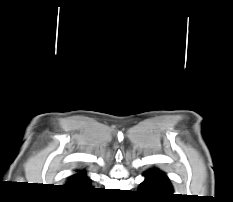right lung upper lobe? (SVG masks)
Instances as JSON below:
<instances>
[{
    "label": "right lung upper lobe",
    "instance_id": "obj_1",
    "mask_svg": "<svg viewBox=\"0 0 233 202\" xmlns=\"http://www.w3.org/2000/svg\"><path fill=\"white\" fill-rule=\"evenodd\" d=\"M90 185V179L86 175L85 170H76V173L68 179V185L71 188L86 187Z\"/></svg>",
    "mask_w": 233,
    "mask_h": 202
}]
</instances>
